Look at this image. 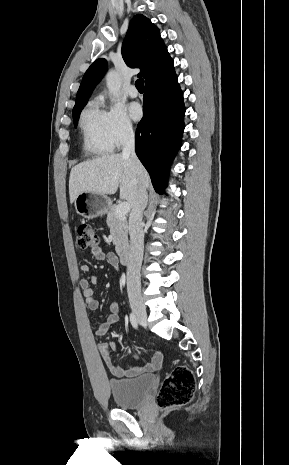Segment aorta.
I'll return each mask as SVG.
<instances>
[{
  "instance_id": "1",
  "label": "aorta",
  "mask_w": 289,
  "mask_h": 465,
  "mask_svg": "<svg viewBox=\"0 0 289 465\" xmlns=\"http://www.w3.org/2000/svg\"><path fill=\"white\" fill-rule=\"evenodd\" d=\"M106 85H107L110 95L113 98H116L119 96L120 89H121V80L116 71L111 70L107 73Z\"/></svg>"
}]
</instances>
